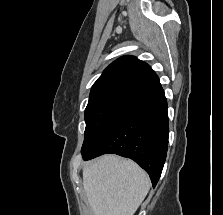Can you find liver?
I'll list each match as a JSON object with an SVG mask.
<instances>
[{"mask_svg": "<svg viewBox=\"0 0 223 215\" xmlns=\"http://www.w3.org/2000/svg\"><path fill=\"white\" fill-rule=\"evenodd\" d=\"M83 185L94 215H133L151 187L135 161L111 153L85 165Z\"/></svg>", "mask_w": 223, "mask_h": 215, "instance_id": "obj_1", "label": "liver"}]
</instances>
